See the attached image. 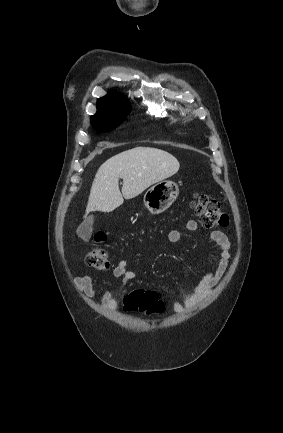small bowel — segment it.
I'll return each mask as SVG.
<instances>
[{
	"mask_svg": "<svg viewBox=\"0 0 283 433\" xmlns=\"http://www.w3.org/2000/svg\"><path fill=\"white\" fill-rule=\"evenodd\" d=\"M199 230L196 221L189 220L184 223L182 229H174L168 233V240L172 243L179 242L183 238L185 231L194 232ZM208 238L214 242L220 249V259L216 268L208 271L205 276L197 283V285L188 293L183 301L176 300L173 302L172 307L176 313H185L189 309L196 306L201 300L211 294L214 287L222 279L230 260V247L231 242L229 237L222 231H211L207 233ZM114 277L121 279L123 285L136 277V274L128 269V262L120 260L113 270ZM75 282L79 289L87 296L94 297L99 291L93 285L91 275L84 274L76 277ZM101 304L104 307L115 309L117 308V300L114 295L108 291L101 292Z\"/></svg>",
	"mask_w": 283,
	"mask_h": 433,
	"instance_id": "obj_1",
	"label": "small bowel"
}]
</instances>
